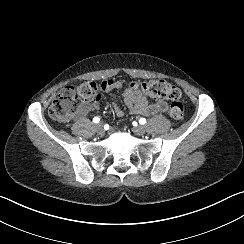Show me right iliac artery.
Listing matches in <instances>:
<instances>
[{
	"instance_id": "1",
	"label": "right iliac artery",
	"mask_w": 244,
	"mask_h": 244,
	"mask_svg": "<svg viewBox=\"0 0 244 244\" xmlns=\"http://www.w3.org/2000/svg\"><path fill=\"white\" fill-rule=\"evenodd\" d=\"M100 121V118L99 117H94L93 118V122L94 123H98ZM104 128H105V126H104Z\"/></svg>"
}]
</instances>
